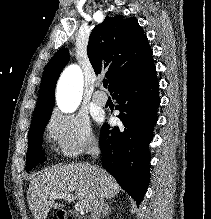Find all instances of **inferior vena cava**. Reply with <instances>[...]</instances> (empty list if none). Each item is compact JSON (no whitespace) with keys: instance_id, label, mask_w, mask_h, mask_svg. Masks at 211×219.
Returning <instances> with one entry per match:
<instances>
[{"instance_id":"1","label":"inferior vena cava","mask_w":211,"mask_h":219,"mask_svg":"<svg viewBox=\"0 0 211 219\" xmlns=\"http://www.w3.org/2000/svg\"><path fill=\"white\" fill-rule=\"evenodd\" d=\"M88 153L91 154L94 158H97L99 156L101 151L98 142L96 141L91 142ZM103 206H104V197L101 194H97L96 198L92 203L91 219H100V214Z\"/></svg>"}]
</instances>
